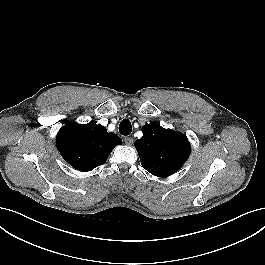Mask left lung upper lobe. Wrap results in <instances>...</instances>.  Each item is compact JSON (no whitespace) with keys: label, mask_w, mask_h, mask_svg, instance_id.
Returning a JSON list of instances; mask_svg holds the SVG:
<instances>
[{"label":"left lung upper lobe","mask_w":265,"mask_h":265,"mask_svg":"<svg viewBox=\"0 0 265 265\" xmlns=\"http://www.w3.org/2000/svg\"><path fill=\"white\" fill-rule=\"evenodd\" d=\"M143 136L135 141L142 166L151 174L166 177L178 171L188 159L191 146L187 137L164 129L157 123L145 124Z\"/></svg>","instance_id":"left-lung-upper-lobe-1"}]
</instances>
